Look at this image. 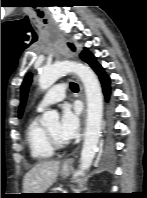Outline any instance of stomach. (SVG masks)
Listing matches in <instances>:
<instances>
[{
    "mask_svg": "<svg viewBox=\"0 0 147 198\" xmlns=\"http://www.w3.org/2000/svg\"><path fill=\"white\" fill-rule=\"evenodd\" d=\"M71 169L70 168H66V167H62L60 170V174L63 177H67L70 174Z\"/></svg>",
    "mask_w": 147,
    "mask_h": 198,
    "instance_id": "stomach-1",
    "label": "stomach"
}]
</instances>
